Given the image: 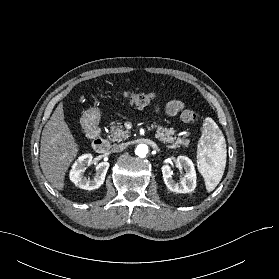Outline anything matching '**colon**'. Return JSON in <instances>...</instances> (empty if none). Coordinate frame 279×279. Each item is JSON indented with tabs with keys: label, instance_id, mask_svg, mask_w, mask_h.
I'll use <instances>...</instances> for the list:
<instances>
[{
	"label": "colon",
	"instance_id": "obj_1",
	"mask_svg": "<svg viewBox=\"0 0 279 279\" xmlns=\"http://www.w3.org/2000/svg\"><path fill=\"white\" fill-rule=\"evenodd\" d=\"M123 100L130 105L136 106V107H144L151 103L154 98L155 94L150 93H144V92H132V91H124L122 93ZM201 116L200 113L193 109L188 108L184 110L181 114V119L186 123H193L198 120H200Z\"/></svg>",
	"mask_w": 279,
	"mask_h": 279
}]
</instances>
